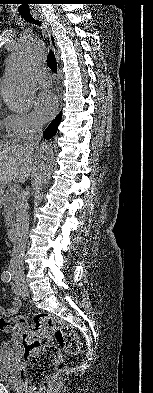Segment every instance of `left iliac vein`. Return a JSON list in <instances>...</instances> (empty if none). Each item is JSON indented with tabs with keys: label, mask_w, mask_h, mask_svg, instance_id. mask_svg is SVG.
<instances>
[{
	"label": "left iliac vein",
	"mask_w": 153,
	"mask_h": 393,
	"mask_svg": "<svg viewBox=\"0 0 153 393\" xmlns=\"http://www.w3.org/2000/svg\"><path fill=\"white\" fill-rule=\"evenodd\" d=\"M13 290L15 294L20 295V296H27L28 295V288L26 283L22 282L21 284H14L13 285Z\"/></svg>",
	"instance_id": "1"
}]
</instances>
